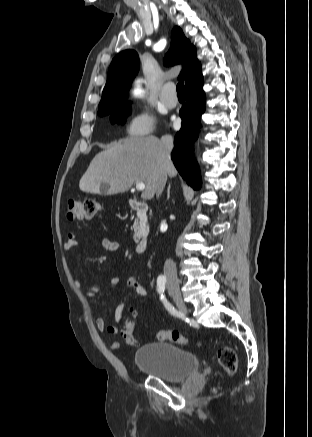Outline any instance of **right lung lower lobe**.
Listing matches in <instances>:
<instances>
[{"mask_svg": "<svg viewBox=\"0 0 312 437\" xmlns=\"http://www.w3.org/2000/svg\"><path fill=\"white\" fill-rule=\"evenodd\" d=\"M203 77L185 86L186 104L180 110L182 127L178 132L171 158L182 178L193 189L200 188L199 168L193 157V144L200 131V117L205 111Z\"/></svg>", "mask_w": 312, "mask_h": 437, "instance_id": "98d812e1", "label": "right lung lower lobe"}]
</instances>
